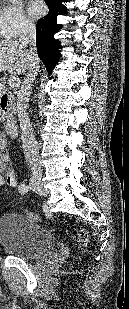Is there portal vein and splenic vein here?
Wrapping results in <instances>:
<instances>
[{
  "label": "portal vein and splenic vein",
  "instance_id": "1",
  "mask_svg": "<svg viewBox=\"0 0 129 309\" xmlns=\"http://www.w3.org/2000/svg\"><path fill=\"white\" fill-rule=\"evenodd\" d=\"M8 85L13 88L19 86V79L15 77H10L8 79Z\"/></svg>",
  "mask_w": 129,
  "mask_h": 309
}]
</instances>
